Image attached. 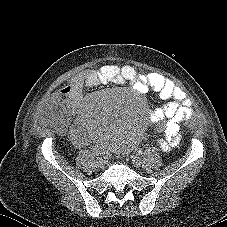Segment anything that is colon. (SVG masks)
Masks as SVG:
<instances>
[{
  "instance_id": "1",
  "label": "colon",
  "mask_w": 227,
  "mask_h": 227,
  "mask_svg": "<svg viewBox=\"0 0 227 227\" xmlns=\"http://www.w3.org/2000/svg\"><path fill=\"white\" fill-rule=\"evenodd\" d=\"M177 130H178L179 135L183 138L189 137L192 133L191 128L185 122L180 123L177 127Z\"/></svg>"
}]
</instances>
